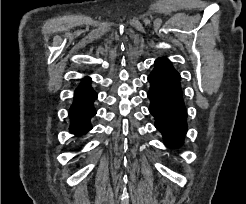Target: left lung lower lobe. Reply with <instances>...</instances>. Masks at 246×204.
Wrapping results in <instances>:
<instances>
[{
  "label": "left lung lower lobe",
  "instance_id": "1",
  "mask_svg": "<svg viewBox=\"0 0 246 204\" xmlns=\"http://www.w3.org/2000/svg\"><path fill=\"white\" fill-rule=\"evenodd\" d=\"M149 111L155 117V126L162 133L165 144L176 147L183 142L187 131L186 109L182 100L180 75L169 60L159 58L148 77Z\"/></svg>",
  "mask_w": 246,
  "mask_h": 204
}]
</instances>
